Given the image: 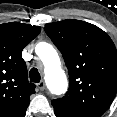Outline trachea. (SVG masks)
<instances>
[{"label": "trachea", "mask_w": 117, "mask_h": 117, "mask_svg": "<svg viewBox=\"0 0 117 117\" xmlns=\"http://www.w3.org/2000/svg\"><path fill=\"white\" fill-rule=\"evenodd\" d=\"M29 77L31 82L39 83L40 82V73L38 72L37 68H32L29 72Z\"/></svg>", "instance_id": "trachea-1"}]
</instances>
